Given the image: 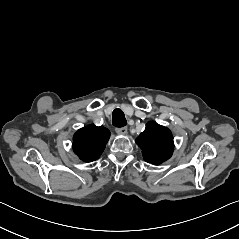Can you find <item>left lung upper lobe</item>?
<instances>
[{
	"instance_id": "obj_1",
	"label": "left lung upper lobe",
	"mask_w": 239,
	"mask_h": 239,
	"mask_svg": "<svg viewBox=\"0 0 239 239\" xmlns=\"http://www.w3.org/2000/svg\"><path fill=\"white\" fill-rule=\"evenodd\" d=\"M146 162L159 165L168 160L173 153L174 143L170 130L150 121L136 139Z\"/></svg>"
}]
</instances>
